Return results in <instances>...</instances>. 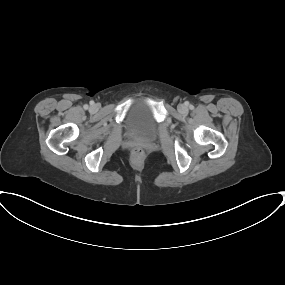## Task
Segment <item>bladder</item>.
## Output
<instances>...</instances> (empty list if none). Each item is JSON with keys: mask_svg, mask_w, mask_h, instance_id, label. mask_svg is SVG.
Listing matches in <instances>:
<instances>
[{"mask_svg": "<svg viewBox=\"0 0 285 285\" xmlns=\"http://www.w3.org/2000/svg\"><path fill=\"white\" fill-rule=\"evenodd\" d=\"M126 127L133 136L147 140L153 139L158 131L150 106L145 102H137L129 108Z\"/></svg>", "mask_w": 285, "mask_h": 285, "instance_id": "1", "label": "bladder"}]
</instances>
